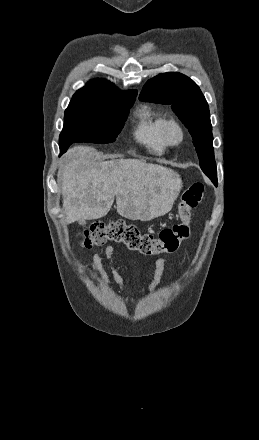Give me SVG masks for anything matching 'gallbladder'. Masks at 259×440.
Masks as SVG:
<instances>
[{
  "label": "gallbladder",
  "instance_id": "bac80fb5",
  "mask_svg": "<svg viewBox=\"0 0 259 440\" xmlns=\"http://www.w3.org/2000/svg\"><path fill=\"white\" fill-rule=\"evenodd\" d=\"M79 225L85 226L86 225V221L81 219L79 220Z\"/></svg>",
  "mask_w": 259,
  "mask_h": 440
}]
</instances>
